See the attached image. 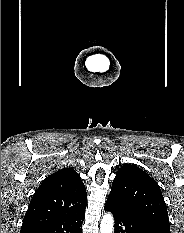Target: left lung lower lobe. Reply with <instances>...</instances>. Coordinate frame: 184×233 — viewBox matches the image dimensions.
I'll use <instances>...</instances> for the list:
<instances>
[{"instance_id": "left-lung-lower-lobe-1", "label": "left lung lower lobe", "mask_w": 184, "mask_h": 233, "mask_svg": "<svg viewBox=\"0 0 184 233\" xmlns=\"http://www.w3.org/2000/svg\"><path fill=\"white\" fill-rule=\"evenodd\" d=\"M105 210L112 212L115 218L114 233H147L135 220L126 212L120 209L111 201L105 204Z\"/></svg>"}]
</instances>
